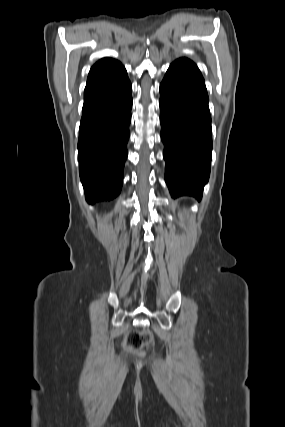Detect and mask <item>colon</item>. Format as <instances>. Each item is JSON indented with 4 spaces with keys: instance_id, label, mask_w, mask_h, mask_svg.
I'll use <instances>...</instances> for the list:
<instances>
[{
    "instance_id": "5ec220e1",
    "label": "colon",
    "mask_w": 285,
    "mask_h": 427,
    "mask_svg": "<svg viewBox=\"0 0 285 427\" xmlns=\"http://www.w3.org/2000/svg\"><path fill=\"white\" fill-rule=\"evenodd\" d=\"M152 342V334L149 331H130L125 339V347L129 350L139 351L148 347Z\"/></svg>"
}]
</instances>
